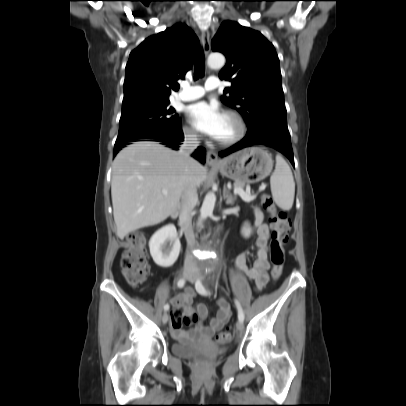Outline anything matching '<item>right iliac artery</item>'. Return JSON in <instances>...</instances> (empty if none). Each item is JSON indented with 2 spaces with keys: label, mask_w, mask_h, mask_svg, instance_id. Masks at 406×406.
<instances>
[{
  "label": "right iliac artery",
  "mask_w": 406,
  "mask_h": 406,
  "mask_svg": "<svg viewBox=\"0 0 406 406\" xmlns=\"http://www.w3.org/2000/svg\"><path fill=\"white\" fill-rule=\"evenodd\" d=\"M184 285H185V280H184V279H180V280L178 281V283H177V286H178L179 288L184 287ZM167 310H169V304L164 305V311H167Z\"/></svg>",
  "instance_id": "1"
}]
</instances>
